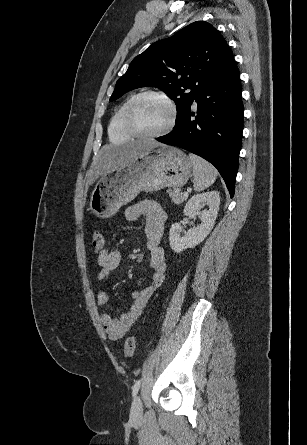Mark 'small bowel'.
<instances>
[{"label":"small bowel","mask_w":307,"mask_h":445,"mask_svg":"<svg viewBox=\"0 0 307 445\" xmlns=\"http://www.w3.org/2000/svg\"><path fill=\"white\" fill-rule=\"evenodd\" d=\"M145 216L146 246L150 252L149 268L152 271L150 284L142 289L135 290L132 294L131 307L120 316L114 317L109 312H103L100 320L105 332L113 341L123 338L126 333L141 319L149 299L164 282L167 264L165 251L161 246V238L167 216L161 205L153 200H144L125 210V218L128 221L138 220ZM121 262V253L117 250L104 248L98 255L100 271L98 280L105 283L110 274L115 271ZM97 303L105 306L109 303V294L101 290L97 295Z\"/></svg>","instance_id":"small-bowel-1"}]
</instances>
